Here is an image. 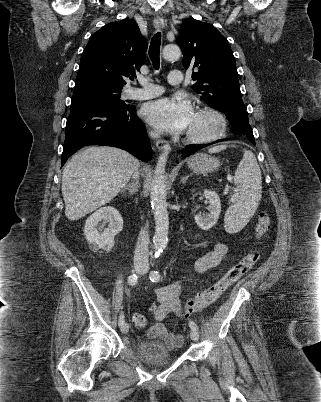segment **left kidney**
Listing matches in <instances>:
<instances>
[{
	"mask_svg": "<svg viewBox=\"0 0 321 402\" xmlns=\"http://www.w3.org/2000/svg\"><path fill=\"white\" fill-rule=\"evenodd\" d=\"M204 196L209 201V213L195 215V222L202 230H209L218 221L221 213V201L219 195L213 190H204Z\"/></svg>",
	"mask_w": 321,
	"mask_h": 402,
	"instance_id": "obj_1",
	"label": "left kidney"
}]
</instances>
